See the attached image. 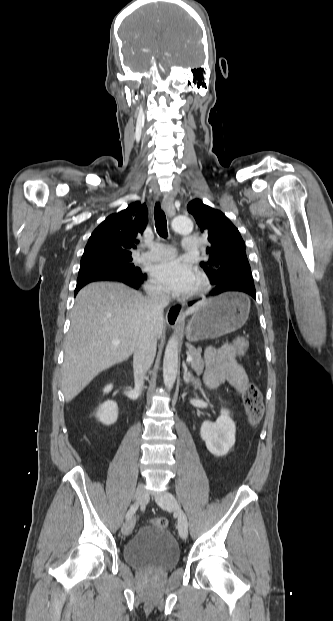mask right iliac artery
I'll return each mask as SVG.
<instances>
[{
	"instance_id": "obj_1",
	"label": "right iliac artery",
	"mask_w": 333,
	"mask_h": 621,
	"mask_svg": "<svg viewBox=\"0 0 333 621\" xmlns=\"http://www.w3.org/2000/svg\"><path fill=\"white\" fill-rule=\"evenodd\" d=\"M138 507H139V504H138L137 502H136V503H134V504L130 507V509L128 510V512H127V514H126V519H127V520H128V519H130V518L134 515V513L136 512V510L138 509Z\"/></svg>"
}]
</instances>
